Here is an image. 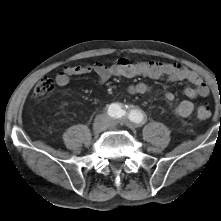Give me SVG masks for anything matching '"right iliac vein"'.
Listing matches in <instances>:
<instances>
[{
	"instance_id": "right-iliac-vein-1",
	"label": "right iliac vein",
	"mask_w": 221,
	"mask_h": 221,
	"mask_svg": "<svg viewBox=\"0 0 221 221\" xmlns=\"http://www.w3.org/2000/svg\"><path fill=\"white\" fill-rule=\"evenodd\" d=\"M108 120L104 117H98L93 124V131L95 133H101L108 127Z\"/></svg>"
}]
</instances>
